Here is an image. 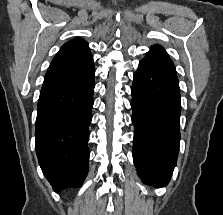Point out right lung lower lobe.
Here are the masks:
<instances>
[{
  "label": "right lung lower lobe",
  "instance_id": "right-lung-lower-lobe-1",
  "mask_svg": "<svg viewBox=\"0 0 223 215\" xmlns=\"http://www.w3.org/2000/svg\"><path fill=\"white\" fill-rule=\"evenodd\" d=\"M94 67L82 77L41 89L36 154L57 193L77 188L88 172V127L93 106Z\"/></svg>",
  "mask_w": 223,
  "mask_h": 215
}]
</instances>
